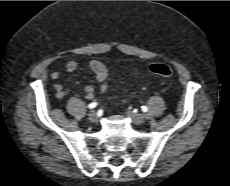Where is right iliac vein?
Masks as SVG:
<instances>
[{
	"instance_id": "right-iliac-vein-1",
	"label": "right iliac vein",
	"mask_w": 230,
	"mask_h": 186,
	"mask_svg": "<svg viewBox=\"0 0 230 186\" xmlns=\"http://www.w3.org/2000/svg\"><path fill=\"white\" fill-rule=\"evenodd\" d=\"M88 119H89L91 122H96L97 119H98L97 113H96L95 111H91V112L88 114Z\"/></svg>"
}]
</instances>
